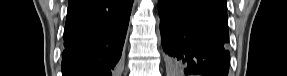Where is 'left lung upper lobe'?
<instances>
[{
  "mask_svg": "<svg viewBox=\"0 0 287 76\" xmlns=\"http://www.w3.org/2000/svg\"><path fill=\"white\" fill-rule=\"evenodd\" d=\"M214 1H219V2H221L223 5L226 6V0H214Z\"/></svg>",
  "mask_w": 287,
  "mask_h": 76,
  "instance_id": "5c2ea615",
  "label": "left lung upper lobe"
}]
</instances>
